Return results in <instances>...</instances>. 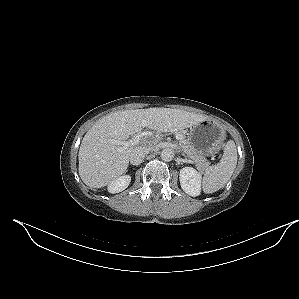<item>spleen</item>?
Segmentation results:
<instances>
[{
	"label": "spleen",
	"mask_w": 299,
	"mask_h": 299,
	"mask_svg": "<svg viewBox=\"0 0 299 299\" xmlns=\"http://www.w3.org/2000/svg\"><path fill=\"white\" fill-rule=\"evenodd\" d=\"M236 165V145L233 140H229L225 145L220 162L205 169L202 181L204 193H214L223 188L232 176Z\"/></svg>",
	"instance_id": "spleen-1"
}]
</instances>
